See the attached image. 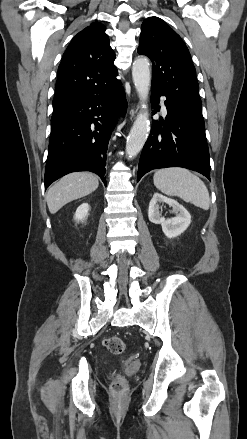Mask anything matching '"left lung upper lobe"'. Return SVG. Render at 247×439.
<instances>
[{"label": "left lung upper lobe", "mask_w": 247, "mask_h": 439, "mask_svg": "<svg viewBox=\"0 0 247 439\" xmlns=\"http://www.w3.org/2000/svg\"><path fill=\"white\" fill-rule=\"evenodd\" d=\"M138 53L152 61L151 87L202 112L199 86L189 50L181 37L162 19L149 17L143 22Z\"/></svg>", "instance_id": "1"}]
</instances>
